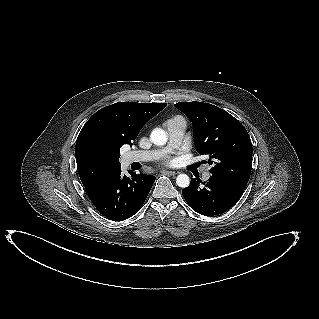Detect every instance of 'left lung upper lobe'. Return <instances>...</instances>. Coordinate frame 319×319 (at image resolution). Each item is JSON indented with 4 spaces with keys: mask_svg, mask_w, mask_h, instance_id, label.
Instances as JSON below:
<instances>
[{
    "mask_svg": "<svg viewBox=\"0 0 319 319\" xmlns=\"http://www.w3.org/2000/svg\"><path fill=\"white\" fill-rule=\"evenodd\" d=\"M175 107L192 121L197 152L209 156L211 174L246 187L253 150L244 126L228 112L211 104L179 102Z\"/></svg>",
    "mask_w": 319,
    "mask_h": 319,
    "instance_id": "5c2ea615",
    "label": "left lung upper lobe"
}]
</instances>
